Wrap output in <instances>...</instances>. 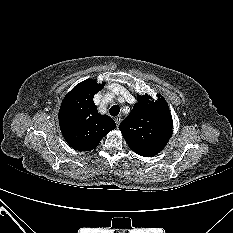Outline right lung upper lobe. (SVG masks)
<instances>
[{
  "instance_id": "1",
  "label": "right lung upper lobe",
  "mask_w": 233,
  "mask_h": 233,
  "mask_svg": "<svg viewBox=\"0 0 233 233\" xmlns=\"http://www.w3.org/2000/svg\"><path fill=\"white\" fill-rule=\"evenodd\" d=\"M104 83L92 79L76 85L64 98L59 110V124L66 142L75 150L95 149L100 140L115 129L114 120L101 115L93 102L94 95Z\"/></svg>"
}]
</instances>
